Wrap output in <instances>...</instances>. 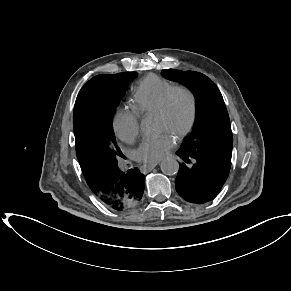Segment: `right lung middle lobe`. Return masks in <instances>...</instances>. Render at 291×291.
<instances>
[{
    "instance_id": "1",
    "label": "right lung middle lobe",
    "mask_w": 291,
    "mask_h": 291,
    "mask_svg": "<svg viewBox=\"0 0 291 291\" xmlns=\"http://www.w3.org/2000/svg\"><path fill=\"white\" fill-rule=\"evenodd\" d=\"M136 72L97 75L80 90L73 113L76 153L99 165L117 163L122 152L116 144L112 118Z\"/></svg>"
}]
</instances>
